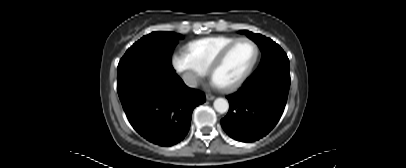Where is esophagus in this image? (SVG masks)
Segmentation results:
<instances>
[{
    "mask_svg": "<svg viewBox=\"0 0 406 168\" xmlns=\"http://www.w3.org/2000/svg\"><path fill=\"white\" fill-rule=\"evenodd\" d=\"M214 98H215L214 95L206 94V100H207V101H212V100H214Z\"/></svg>",
    "mask_w": 406,
    "mask_h": 168,
    "instance_id": "esophagus-1",
    "label": "esophagus"
}]
</instances>
